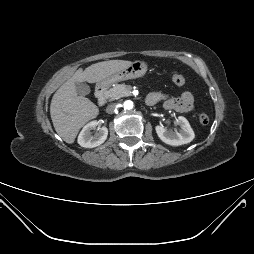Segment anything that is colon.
Listing matches in <instances>:
<instances>
[{"label": "colon", "instance_id": "obj_1", "mask_svg": "<svg viewBox=\"0 0 254 254\" xmlns=\"http://www.w3.org/2000/svg\"><path fill=\"white\" fill-rule=\"evenodd\" d=\"M171 79L174 84L179 85V86L184 85L186 83L185 76L182 74H179V73L173 74ZM198 118H199L200 123H202V124H207L209 122V116L205 113L199 114Z\"/></svg>", "mask_w": 254, "mask_h": 254}]
</instances>
